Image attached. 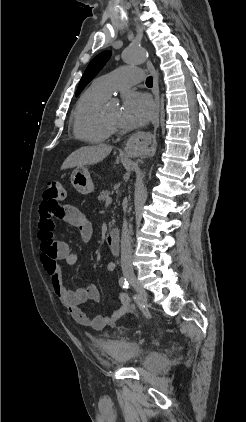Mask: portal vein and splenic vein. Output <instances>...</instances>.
<instances>
[{"label":"portal vein and splenic vein","instance_id":"18ae733b","mask_svg":"<svg viewBox=\"0 0 246 422\" xmlns=\"http://www.w3.org/2000/svg\"><path fill=\"white\" fill-rule=\"evenodd\" d=\"M112 202V198L111 197H107L106 199V205H109Z\"/></svg>","mask_w":246,"mask_h":422}]
</instances>
